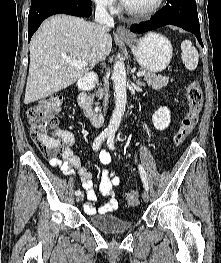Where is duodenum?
<instances>
[{
	"label": "duodenum",
	"mask_w": 221,
	"mask_h": 263,
	"mask_svg": "<svg viewBox=\"0 0 221 263\" xmlns=\"http://www.w3.org/2000/svg\"><path fill=\"white\" fill-rule=\"evenodd\" d=\"M97 82V76L93 73H87L79 81L80 93L78 95V104L80 108L92 117L95 125H100L102 121L101 108L99 106H94L90 91L94 88Z\"/></svg>",
	"instance_id": "1"
}]
</instances>
